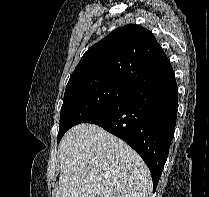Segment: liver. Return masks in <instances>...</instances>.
Wrapping results in <instances>:
<instances>
[{
    "mask_svg": "<svg viewBox=\"0 0 209 197\" xmlns=\"http://www.w3.org/2000/svg\"><path fill=\"white\" fill-rule=\"evenodd\" d=\"M56 197H148L150 171L123 140L95 124L72 127L60 144Z\"/></svg>",
    "mask_w": 209,
    "mask_h": 197,
    "instance_id": "obj_1",
    "label": "liver"
}]
</instances>
